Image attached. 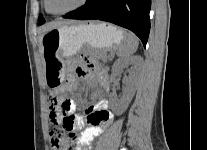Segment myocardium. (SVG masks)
<instances>
[{"instance_id": "myocardium-1", "label": "myocardium", "mask_w": 207, "mask_h": 150, "mask_svg": "<svg viewBox=\"0 0 207 150\" xmlns=\"http://www.w3.org/2000/svg\"><path fill=\"white\" fill-rule=\"evenodd\" d=\"M44 1V7H45V10L50 13V14H53V15H65V14H68L70 12H73L79 8H81L82 6H84L88 0H81L77 5L73 6L72 8L70 9H67L65 11H62V12H54L52 11L50 8H49V5H48V0H43Z\"/></svg>"}]
</instances>
